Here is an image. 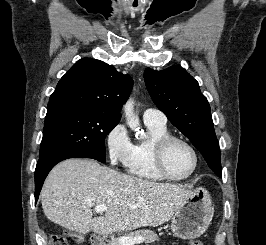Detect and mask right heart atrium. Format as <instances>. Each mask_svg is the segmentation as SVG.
Listing matches in <instances>:
<instances>
[{"label":"right heart atrium","mask_w":266,"mask_h":245,"mask_svg":"<svg viewBox=\"0 0 266 245\" xmlns=\"http://www.w3.org/2000/svg\"><path fill=\"white\" fill-rule=\"evenodd\" d=\"M105 149L113 167L128 168L134 152V143L124 124L117 123L106 133Z\"/></svg>","instance_id":"1"}]
</instances>
